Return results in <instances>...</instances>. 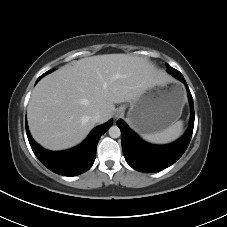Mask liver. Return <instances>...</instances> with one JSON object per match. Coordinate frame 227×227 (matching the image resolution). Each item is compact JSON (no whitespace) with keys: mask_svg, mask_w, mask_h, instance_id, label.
Masks as SVG:
<instances>
[{"mask_svg":"<svg viewBox=\"0 0 227 227\" xmlns=\"http://www.w3.org/2000/svg\"><path fill=\"white\" fill-rule=\"evenodd\" d=\"M166 76L145 58L104 54L82 58L44 77L34 88L27 110L30 132L49 150L82 142L93 129L91 116L107 122L115 105L131 102Z\"/></svg>","mask_w":227,"mask_h":227,"instance_id":"obj_1","label":"liver"}]
</instances>
